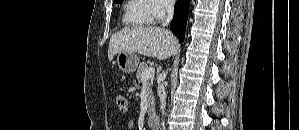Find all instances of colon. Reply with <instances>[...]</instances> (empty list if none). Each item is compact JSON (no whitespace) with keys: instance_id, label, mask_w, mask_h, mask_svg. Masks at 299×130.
Instances as JSON below:
<instances>
[{"instance_id":"1","label":"colon","mask_w":299,"mask_h":130,"mask_svg":"<svg viewBox=\"0 0 299 130\" xmlns=\"http://www.w3.org/2000/svg\"><path fill=\"white\" fill-rule=\"evenodd\" d=\"M116 103H117V107L119 108V110L121 111H126L128 108V100L125 96H118L116 99Z\"/></svg>"}]
</instances>
